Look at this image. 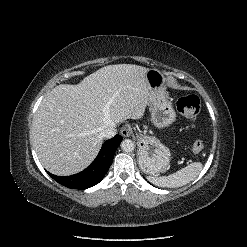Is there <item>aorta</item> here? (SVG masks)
Returning a JSON list of instances; mask_svg holds the SVG:
<instances>
[{
  "mask_svg": "<svg viewBox=\"0 0 247 247\" xmlns=\"http://www.w3.org/2000/svg\"><path fill=\"white\" fill-rule=\"evenodd\" d=\"M121 149L124 152H132L135 149V144L131 139H125L121 142Z\"/></svg>",
  "mask_w": 247,
  "mask_h": 247,
  "instance_id": "1",
  "label": "aorta"
}]
</instances>
